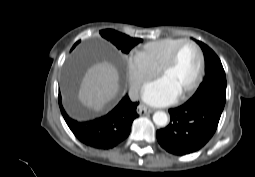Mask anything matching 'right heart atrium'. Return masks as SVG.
I'll list each match as a JSON object with an SVG mask.
<instances>
[{"mask_svg": "<svg viewBox=\"0 0 255 177\" xmlns=\"http://www.w3.org/2000/svg\"><path fill=\"white\" fill-rule=\"evenodd\" d=\"M127 73L131 91L137 94L150 80L156 77L158 70L137 53L129 57Z\"/></svg>", "mask_w": 255, "mask_h": 177, "instance_id": "right-heart-atrium-1", "label": "right heart atrium"}]
</instances>
